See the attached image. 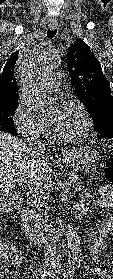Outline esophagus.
Instances as JSON below:
<instances>
[{
  "label": "esophagus",
  "mask_w": 113,
  "mask_h": 279,
  "mask_svg": "<svg viewBox=\"0 0 113 279\" xmlns=\"http://www.w3.org/2000/svg\"><path fill=\"white\" fill-rule=\"evenodd\" d=\"M50 28L51 29H55L56 28V24H50Z\"/></svg>",
  "instance_id": "esophagus-1"
}]
</instances>
